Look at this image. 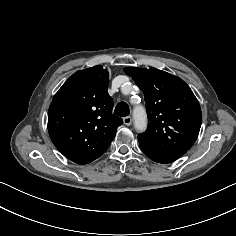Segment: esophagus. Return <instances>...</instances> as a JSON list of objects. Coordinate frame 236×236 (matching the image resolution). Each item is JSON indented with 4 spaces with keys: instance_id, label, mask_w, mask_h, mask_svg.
<instances>
[{
    "instance_id": "obj_1",
    "label": "esophagus",
    "mask_w": 236,
    "mask_h": 236,
    "mask_svg": "<svg viewBox=\"0 0 236 236\" xmlns=\"http://www.w3.org/2000/svg\"><path fill=\"white\" fill-rule=\"evenodd\" d=\"M123 122L125 125L130 126L132 123V118L130 116H126L123 118Z\"/></svg>"
}]
</instances>
